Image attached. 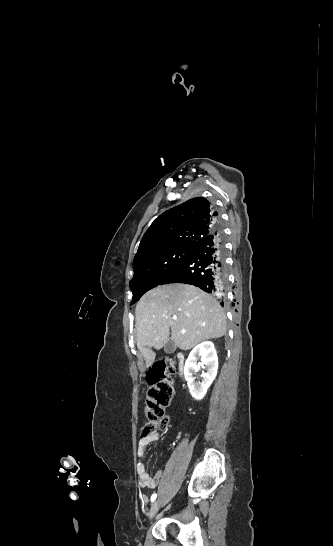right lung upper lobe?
<instances>
[{"label": "right lung upper lobe", "mask_w": 333, "mask_h": 546, "mask_svg": "<svg viewBox=\"0 0 333 546\" xmlns=\"http://www.w3.org/2000/svg\"><path fill=\"white\" fill-rule=\"evenodd\" d=\"M218 213L204 197L190 199L157 217L145 232L133 266L162 251L193 247L217 226Z\"/></svg>", "instance_id": "obj_1"}]
</instances>
